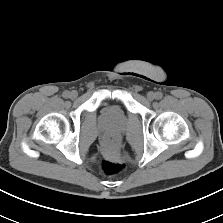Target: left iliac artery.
Here are the masks:
<instances>
[{"instance_id": "left-iliac-artery-1", "label": "left iliac artery", "mask_w": 223, "mask_h": 223, "mask_svg": "<svg viewBox=\"0 0 223 223\" xmlns=\"http://www.w3.org/2000/svg\"><path fill=\"white\" fill-rule=\"evenodd\" d=\"M155 98L156 99H161L162 98V93L161 92H156L155 93Z\"/></svg>"}]
</instances>
